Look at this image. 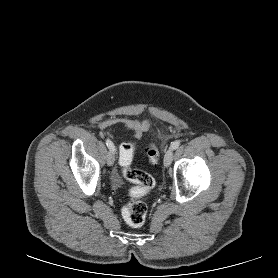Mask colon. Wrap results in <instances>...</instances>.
Instances as JSON below:
<instances>
[{"label":"colon","mask_w":278,"mask_h":278,"mask_svg":"<svg viewBox=\"0 0 278 278\" xmlns=\"http://www.w3.org/2000/svg\"><path fill=\"white\" fill-rule=\"evenodd\" d=\"M134 145L132 142H124L120 146L119 163L122 169L123 176L134 184L132 196L134 199L126 203L122 207V215L127 224L133 227L143 225L147 217V206L140 201L138 197L147 193L154 187L153 177L139 169L131 168L133 159ZM147 156L152 164H157L159 160V151L154 144H150L147 149Z\"/></svg>","instance_id":"colon-1"}]
</instances>
